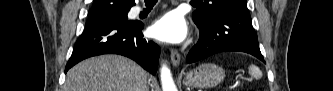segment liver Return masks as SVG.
Masks as SVG:
<instances>
[{"mask_svg": "<svg viewBox=\"0 0 333 91\" xmlns=\"http://www.w3.org/2000/svg\"><path fill=\"white\" fill-rule=\"evenodd\" d=\"M147 72L134 61L117 55L87 59L71 68L64 91H144Z\"/></svg>", "mask_w": 333, "mask_h": 91, "instance_id": "obj_1", "label": "liver"}]
</instances>
